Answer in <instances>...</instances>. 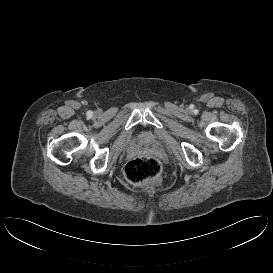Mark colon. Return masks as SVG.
Instances as JSON below:
<instances>
[{"instance_id": "5ec220e1", "label": "colon", "mask_w": 273, "mask_h": 273, "mask_svg": "<svg viewBox=\"0 0 273 273\" xmlns=\"http://www.w3.org/2000/svg\"><path fill=\"white\" fill-rule=\"evenodd\" d=\"M161 172V163L150 156H140L129 161L123 170L125 179L135 186L159 182Z\"/></svg>"}]
</instances>
